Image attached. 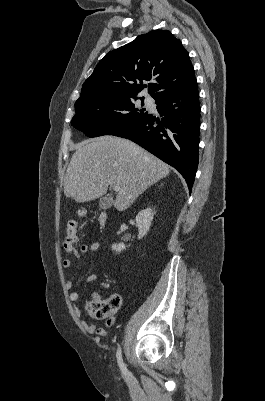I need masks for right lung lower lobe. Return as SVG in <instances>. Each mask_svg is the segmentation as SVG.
Returning a JSON list of instances; mask_svg holds the SVG:
<instances>
[{
  "label": "right lung lower lobe",
  "mask_w": 265,
  "mask_h": 401,
  "mask_svg": "<svg viewBox=\"0 0 265 401\" xmlns=\"http://www.w3.org/2000/svg\"><path fill=\"white\" fill-rule=\"evenodd\" d=\"M158 112L113 133L132 140L185 178L189 191L194 183L199 161L200 105L197 82L189 88L155 99Z\"/></svg>",
  "instance_id": "98d812e1"
}]
</instances>
